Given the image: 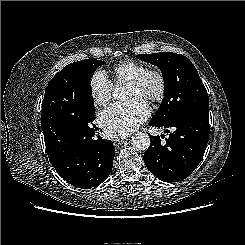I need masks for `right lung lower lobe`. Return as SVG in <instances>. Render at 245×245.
Listing matches in <instances>:
<instances>
[{
  "mask_svg": "<svg viewBox=\"0 0 245 245\" xmlns=\"http://www.w3.org/2000/svg\"><path fill=\"white\" fill-rule=\"evenodd\" d=\"M95 130L69 131L59 127L44 133L47 155L57 173L69 184L90 189L100 185L111 173L115 147Z\"/></svg>",
  "mask_w": 245,
  "mask_h": 245,
  "instance_id": "obj_1",
  "label": "right lung lower lobe"
}]
</instances>
